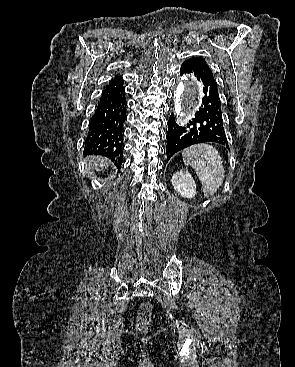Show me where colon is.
I'll return each mask as SVG.
<instances>
[{"instance_id":"1","label":"colon","mask_w":295,"mask_h":367,"mask_svg":"<svg viewBox=\"0 0 295 367\" xmlns=\"http://www.w3.org/2000/svg\"><path fill=\"white\" fill-rule=\"evenodd\" d=\"M151 313V306L149 304L141 305L137 318V324L139 328H143L149 320Z\"/></svg>"}]
</instances>
